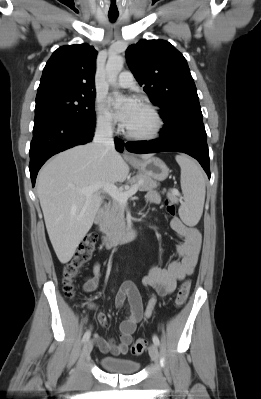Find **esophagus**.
I'll use <instances>...</instances> for the list:
<instances>
[{
  "instance_id": "34e87169",
  "label": "esophagus",
  "mask_w": 261,
  "mask_h": 399,
  "mask_svg": "<svg viewBox=\"0 0 261 399\" xmlns=\"http://www.w3.org/2000/svg\"><path fill=\"white\" fill-rule=\"evenodd\" d=\"M124 156H125L126 158H129V159H132V158H133V156L130 155L126 150L124 151Z\"/></svg>"
}]
</instances>
